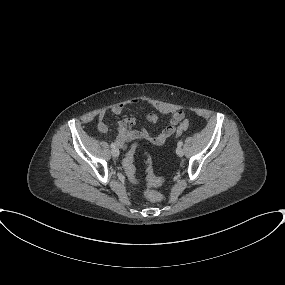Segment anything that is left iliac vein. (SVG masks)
<instances>
[{
    "mask_svg": "<svg viewBox=\"0 0 285 285\" xmlns=\"http://www.w3.org/2000/svg\"><path fill=\"white\" fill-rule=\"evenodd\" d=\"M176 154L179 156V157H182L184 155V151L181 147H177L176 149Z\"/></svg>",
    "mask_w": 285,
    "mask_h": 285,
    "instance_id": "left-iliac-vein-1",
    "label": "left iliac vein"
}]
</instances>
